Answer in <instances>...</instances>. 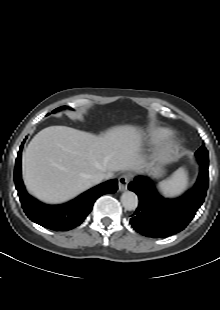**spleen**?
I'll list each match as a JSON object with an SVG mask.
<instances>
[{
  "instance_id": "obj_1",
  "label": "spleen",
  "mask_w": 220,
  "mask_h": 310,
  "mask_svg": "<svg viewBox=\"0 0 220 310\" xmlns=\"http://www.w3.org/2000/svg\"><path fill=\"white\" fill-rule=\"evenodd\" d=\"M188 186V176L184 169H179L173 176L161 183L159 189L165 197H176L182 194Z\"/></svg>"
}]
</instances>
